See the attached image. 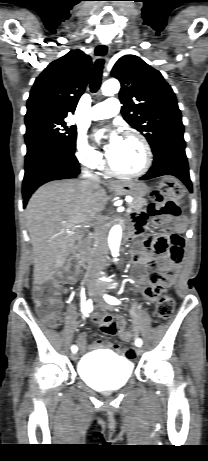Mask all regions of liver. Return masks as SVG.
<instances>
[{
	"label": "liver",
	"mask_w": 208,
	"mask_h": 461,
	"mask_svg": "<svg viewBox=\"0 0 208 461\" xmlns=\"http://www.w3.org/2000/svg\"><path fill=\"white\" fill-rule=\"evenodd\" d=\"M108 196L90 180L53 181L30 198L26 220L33 246L34 281L42 284L65 263L84 224L104 210Z\"/></svg>",
	"instance_id": "liver-1"
}]
</instances>
